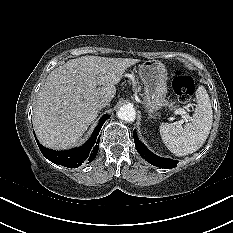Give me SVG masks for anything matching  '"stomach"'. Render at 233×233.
Listing matches in <instances>:
<instances>
[{"mask_svg": "<svg viewBox=\"0 0 233 233\" xmlns=\"http://www.w3.org/2000/svg\"><path fill=\"white\" fill-rule=\"evenodd\" d=\"M139 76L144 84L143 104L149 114H156L166 106V67L160 61L147 60L140 65Z\"/></svg>", "mask_w": 233, "mask_h": 233, "instance_id": "0dacf381", "label": "stomach"}]
</instances>
